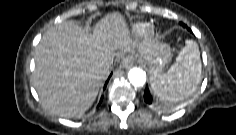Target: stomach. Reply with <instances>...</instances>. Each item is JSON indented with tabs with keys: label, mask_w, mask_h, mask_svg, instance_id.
I'll use <instances>...</instances> for the list:
<instances>
[{
	"label": "stomach",
	"mask_w": 236,
	"mask_h": 135,
	"mask_svg": "<svg viewBox=\"0 0 236 135\" xmlns=\"http://www.w3.org/2000/svg\"><path fill=\"white\" fill-rule=\"evenodd\" d=\"M140 57L148 64L150 68V77H152L155 71L162 70L170 61L171 50L169 45L157 40H152L143 46Z\"/></svg>",
	"instance_id": "1"
}]
</instances>
